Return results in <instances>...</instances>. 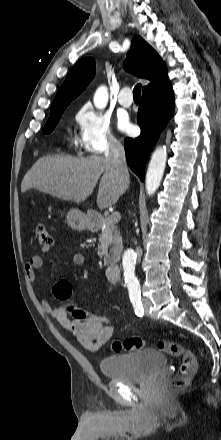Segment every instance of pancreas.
Returning a JSON list of instances; mask_svg holds the SVG:
<instances>
[{
  "instance_id": "1",
  "label": "pancreas",
  "mask_w": 221,
  "mask_h": 440,
  "mask_svg": "<svg viewBox=\"0 0 221 440\" xmlns=\"http://www.w3.org/2000/svg\"><path fill=\"white\" fill-rule=\"evenodd\" d=\"M102 231V233L99 235V251L98 254L102 256L104 254L105 249L111 245L115 244L117 245V256L119 258L121 253V238H120V232L118 231V228L116 227L115 223L110 221V218L107 217L104 220H102L99 225L93 230L94 232ZM117 258V259H118Z\"/></svg>"
}]
</instances>
